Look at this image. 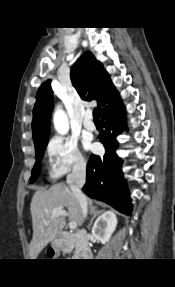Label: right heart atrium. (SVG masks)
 <instances>
[{
	"mask_svg": "<svg viewBox=\"0 0 175 287\" xmlns=\"http://www.w3.org/2000/svg\"><path fill=\"white\" fill-rule=\"evenodd\" d=\"M50 162V176L59 178L70 171H81L86 167V160L75 139L63 135L53 136L46 147Z\"/></svg>",
	"mask_w": 175,
	"mask_h": 287,
	"instance_id": "obj_1",
	"label": "right heart atrium"
}]
</instances>
